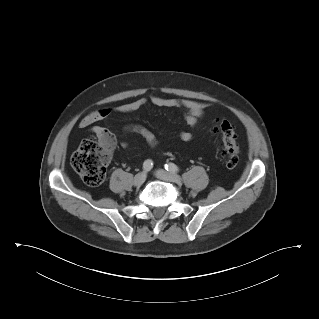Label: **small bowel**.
<instances>
[{
    "mask_svg": "<svg viewBox=\"0 0 319 319\" xmlns=\"http://www.w3.org/2000/svg\"><path fill=\"white\" fill-rule=\"evenodd\" d=\"M148 104L158 107L181 108L184 111L185 120L188 126L192 129H195L200 125L201 118L208 107V105L204 102L152 95L149 98H139L119 105L113 109L105 107L92 111L81 119L80 126L89 127V130L92 134H94L98 139H102L107 135L111 136V132L105 127L94 125L95 123L107 121L112 112L124 114L132 113ZM130 130L140 134L150 147H156L159 143L155 132L148 127L143 125H133L130 127ZM179 137L182 141L189 142L193 139L194 135L190 130H182L179 133ZM121 146L124 149L128 148V144L126 142L121 143Z\"/></svg>",
    "mask_w": 319,
    "mask_h": 319,
    "instance_id": "1",
    "label": "small bowel"
}]
</instances>
